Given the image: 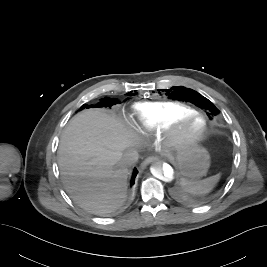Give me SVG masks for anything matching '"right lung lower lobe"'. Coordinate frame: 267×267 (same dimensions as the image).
I'll return each instance as SVG.
<instances>
[{"instance_id": "obj_1", "label": "right lung lower lobe", "mask_w": 267, "mask_h": 267, "mask_svg": "<svg viewBox=\"0 0 267 267\" xmlns=\"http://www.w3.org/2000/svg\"><path fill=\"white\" fill-rule=\"evenodd\" d=\"M137 173H138V170L135 168L133 171L132 179H131V185L134 184L135 177H136Z\"/></svg>"}]
</instances>
